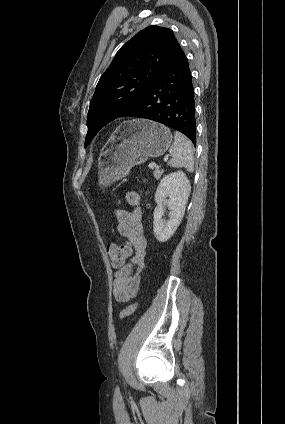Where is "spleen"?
<instances>
[{
  "instance_id": "1",
  "label": "spleen",
  "mask_w": 285,
  "mask_h": 424,
  "mask_svg": "<svg viewBox=\"0 0 285 424\" xmlns=\"http://www.w3.org/2000/svg\"><path fill=\"white\" fill-rule=\"evenodd\" d=\"M170 167H185L189 172L194 171V149L191 141L179 132L174 133V142L169 149Z\"/></svg>"
}]
</instances>
